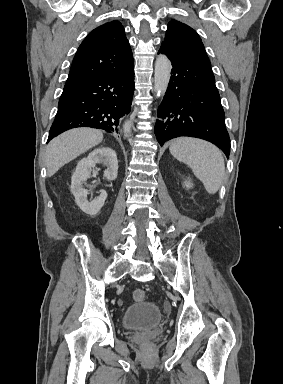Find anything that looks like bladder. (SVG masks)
I'll return each instance as SVG.
<instances>
[{
	"label": "bladder",
	"mask_w": 283,
	"mask_h": 384,
	"mask_svg": "<svg viewBox=\"0 0 283 384\" xmlns=\"http://www.w3.org/2000/svg\"><path fill=\"white\" fill-rule=\"evenodd\" d=\"M161 321V310L151 301L128 304L121 318L122 326L131 330L152 328Z\"/></svg>",
	"instance_id": "bladder-1"
}]
</instances>
